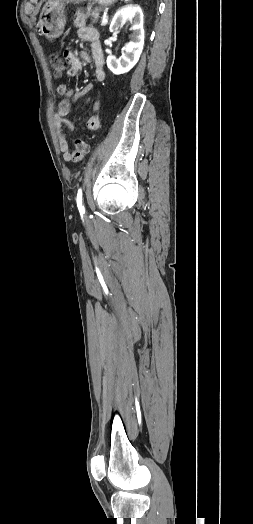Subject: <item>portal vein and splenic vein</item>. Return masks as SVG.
Returning a JSON list of instances; mask_svg holds the SVG:
<instances>
[{
  "mask_svg": "<svg viewBox=\"0 0 253 524\" xmlns=\"http://www.w3.org/2000/svg\"><path fill=\"white\" fill-rule=\"evenodd\" d=\"M107 22H108V17L104 16V17L102 18L101 25H106Z\"/></svg>",
  "mask_w": 253,
  "mask_h": 524,
  "instance_id": "portal-vein-and-splenic-vein-1",
  "label": "portal vein and splenic vein"
}]
</instances>
